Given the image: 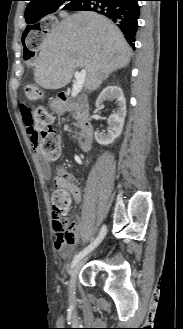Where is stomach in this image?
Returning <instances> with one entry per match:
<instances>
[{"label":"stomach","instance_id":"stomach-1","mask_svg":"<svg viewBox=\"0 0 183 329\" xmlns=\"http://www.w3.org/2000/svg\"><path fill=\"white\" fill-rule=\"evenodd\" d=\"M50 107L53 111H56L58 113H60L62 110V105L57 99L51 102Z\"/></svg>","mask_w":183,"mask_h":329}]
</instances>
